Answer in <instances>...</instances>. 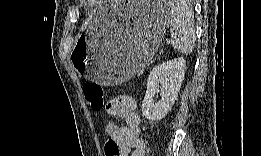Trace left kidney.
<instances>
[{
	"mask_svg": "<svg viewBox=\"0 0 261 156\" xmlns=\"http://www.w3.org/2000/svg\"><path fill=\"white\" fill-rule=\"evenodd\" d=\"M186 69L183 57L172 59L155 66L147 80V90L142 103V112L149 121L163 119L177 99ZM156 93L161 99L154 101Z\"/></svg>",
	"mask_w": 261,
	"mask_h": 156,
	"instance_id": "1",
	"label": "left kidney"
}]
</instances>
